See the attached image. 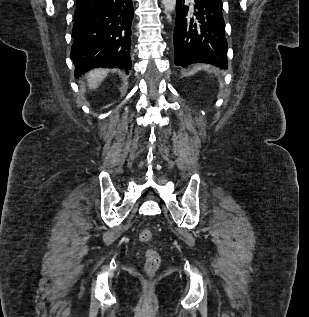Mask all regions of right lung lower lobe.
Returning <instances> with one entry per match:
<instances>
[{
	"instance_id": "98d812e1",
	"label": "right lung lower lobe",
	"mask_w": 309,
	"mask_h": 317,
	"mask_svg": "<svg viewBox=\"0 0 309 317\" xmlns=\"http://www.w3.org/2000/svg\"><path fill=\"white\" fill-rule=\"evenodd\" d=\"M132 0H77L71 59L75 74L93 67L129 71Z\"/></svg>"
}]
</instances>
